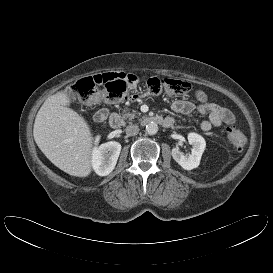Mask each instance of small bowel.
I'll list each match as a JSON object with an SVG mask.
<instances>
[{"mask_svg":"<svg viewBox=\"0 0 273 273\" xmlns=\"http://www.w3.org/2000/svg\"><path fill=\"white\" fill-rule=\"evenodd\" d=\"M194 98L196 102L183 99L175 100L171 105V109L176 113L184 114L187 116H191L194 113L208 115V119L203 120L200 123L201 130L205 132L210 131L212 128L220 127L223 124H234L235 117L233 113L229 109L209 101L207 95L203 91H195ZM103 117L104 112L98 111L96 118L102 119ZM168 118L174 121L172 117Z\"/></svg>","mask_w":273,"mask_h":273,"instance_id":"obj_1","label":"small bowel"}]
</instances>
